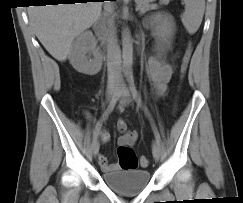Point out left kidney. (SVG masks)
Instances as JSON below:
<instances>
[{"instance_id":"5707ae66","label":"left kidney","mask_w":243,"mask_h":203,"mask_svg":"<svg viewBox=\"0 0 243 203\" xmlns=\"http://www.w3.org/2000/svg\"><path fill=\"white\" fill-rule=\"evenodd\" d=\"M173 28H174V23L172 19H170L169 17L163 19L162 21L157 23V25L154 27L153 35L156 36L158 50L163 51L164 50L163 46L165 44L168 45L170 44L168 40H170V38L173 35V31H174Z\"/></svg>"}]
</instances>
